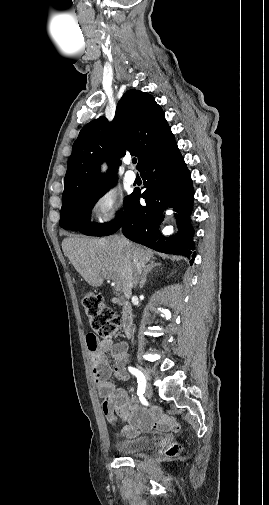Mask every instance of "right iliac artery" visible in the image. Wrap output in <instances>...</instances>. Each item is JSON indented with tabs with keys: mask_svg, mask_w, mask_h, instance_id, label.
Wrapping results in <instances>:
<instances>
[{
	"mask_svg": "<svg viewBox=\"0 0 269 505\" xmlns=\"http://www.w3.org/2000/svg\"><path fill=\"white\" fill-rule=\"evenodd\" d=\"M128 370L131 374L135 375L137 380H138V391H137V394L138 396H143L144 392H145V382H146V379H145V376L143 375V373L134 368V367H131L129 366L128 367Z\"/></svg>",
	"mask_w": 269,
	"mask_h": 505,
	"instance_id": "right-iliac-artery-1",
	"label": "right iliac artery"
}]
</instances>
